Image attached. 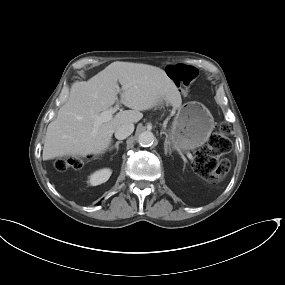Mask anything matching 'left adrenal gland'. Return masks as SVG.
Masks as SVG:
<instances>
[{
	"label": "left adrenal gland",
	"instance_id": "1",
	"mask_svg": "<svg viewBox=\"0 0 285 285\" xmlns=\"http://www.w3.org/2000/svg\"><path fill=\"white\" fill-rule=\"evenodd\" d=\"M164 152H165V155H167L168 152H169V154H171L170 148H168L166 143L164 144Z\"/></svg>",
	"mask_w": 285,
	"mask_h": 285
}]
</instances>
